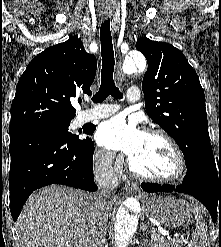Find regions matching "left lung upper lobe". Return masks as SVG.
Masks as SVG:
<instances>
[{
  "label": "left lung upper lobe",
  "instance_id": "left-lung-upper-lobe-1",
  "mask_svg": "<svg viewBox=\"0 0 221 247\" xmlns=\"http://www.w3.org/2000/svg\"><path fill=\"white\" fill-rule=\"evenodd\" d=\"M136 49L148 62L142 81L146 112L173 137L187 161L211 146L199 77L183 53L169 43L143 37Z\"/></svg>",
  "mask_w": 221,
  "mask_h": 247
}]
</instances>
